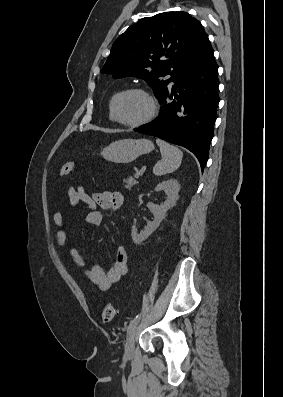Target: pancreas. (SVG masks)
<instances>
[{"mask_svg":"<svg viewBox=\"0 0 283 397\" xmlns=\"http://www.w3.org/2000/svg\"><path fill=\"white\" fill-rule=\"evenodd\" d=\"M124 182H125L124 187L128 190H131L132 187L138 183L133 177H129L125 179Z\"/></svg>","mask_w":283,"mask_h":397,"instance_id":"1","label":"pancreas"}]
</instances>
